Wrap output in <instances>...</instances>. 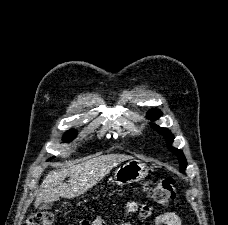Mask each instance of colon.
Wrapping results in <instances>:
<instances>
[{"mask_svg": "<svg viewBox=\"0 0 228 225\" xmlns=\"http://www.w3.org/2000/svg\"><path fill=\"white\" fill-rule=\"evenodd\" d=\"M176 181L174 178H162L147 184L146 188L159 204H167L176 198ZM26 225H54V215L49 210L34 213ZM73 225H90L88 221L73 223Z\"/></svg>", "mask_w": 228, "mask_h": 225, "instance_id": "1", "label": "colon"}]
</instances>
